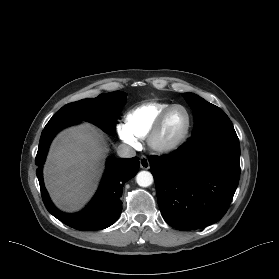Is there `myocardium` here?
<instances>
[{"label": "myocardium", "instance_id": "1", "mask_svg": "<svg viewBox=\"0 0 279 279\" xmlns=\"http://www.w3.org/2000/svg\"><path fill=\"white\" fill-rule=\"evenodd\" d=\"M175 109H182L185 112L187 118L185 129L176 140L169 143H161L158 140L160 131L169 113ZM191 128H192V115L188 110V108L181 104H172L166 109H164L155 120L154 124L152 125L147 135V143L149 147L156 152L159 153L172 152L178 149L179 147H181L186 142L191 132Z\"/></svg>", "mask_w": 279, "mask_h": 279}]
</instances>
